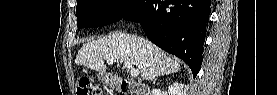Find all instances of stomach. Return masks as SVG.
Here are the masks:
<instances>
[{
  "mask_svg": "<svg viewBox=\"0 0 277 95\" xmlns=\"http://www.w3.org/2000/svg\"><path fill=\"white\" fill-rule=\"evenodd\" d=\"M99 78H100L102 81L108 83V78H106V77H104V76H102V75L99 76Z\"/></svg>",
  "mask_w": 277,
  "mask_h": 95,
  "instance_id": "stomach-1",
  "label": "stomach"
}]
</instances>
